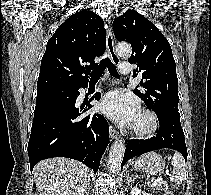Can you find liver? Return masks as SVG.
<instances>
[{"label":"liver","instance_id":"obj_1","mask_svg":"<svg viewBox=\"0 0 211 195\" xmlns=\"http://www.w3.org/2000/svg\"><path fill=\"white\" fill-rule=\"evenodd\" d=\"M33 174L39 195H84L90 183L89 169L68 158L40 161Z\"/></svg>","mask_w":211,"mask_h":195}]
</instances>
